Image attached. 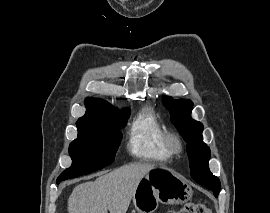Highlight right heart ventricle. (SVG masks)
I'll return each mask as SVG.
<instances>
[{
	"label": "right heart ventricle",
	"instance_id": "right-heart-ventricle-1",
	"mask_svg": "<svg viewBox=\"0 0 270 213\" xmlns=\"http://www.w3.org/2000/svg\"><path fill=\"white\" fill-rule=\"evenodd\" d=\"M167 130L150 109L141 110L133 120L127 148L138 159L166 161L171 157L165 145Z\"/></svg>",
	"mask_w": 270,
	"mask_h": 213
}]
</instances>
